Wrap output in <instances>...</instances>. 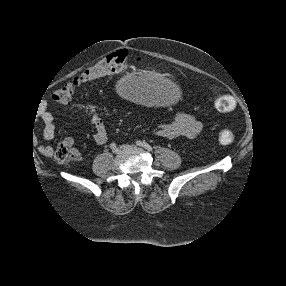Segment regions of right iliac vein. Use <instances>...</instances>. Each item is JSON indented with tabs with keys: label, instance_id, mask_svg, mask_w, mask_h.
I'll list each match as a JSON object with an SVG mask.
<instances>
[{
	"label": "right iliac vein",
	"instance_id": "obj_1",
	"mask_svg": "<svg viewBox=\"0 0 286 286\" xmlns=\"http://www.w3.org/2000/svg\"><path fill=\"white\" fill-rule=\"evenodd\" d=\"M114 154H118L120 152V150L118 148L113 149L112 151Z\"/></svg>",
	"mask_w": 286,
	"mask_h": 286
}]
</instances>
